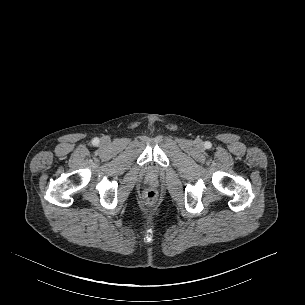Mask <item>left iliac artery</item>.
Wrapping results in <instances>:
<instances>
[{
    "label": "left iliac artery",
    "instance_id": "left-iliac-artery-1",
    "mask_svg": "<svg viewBox=\"0 0 305 305\" xmlns=\"http://www.w3.org/2000/svg\"><path fill=\"white\" fill-rule=\"evenodd\" d=\"M211 146H212V144H211L210 142L207 141V142L205 143V147H206L207 149L211 148Z\"/></svg>",
    "mask_w": 305,
    "mask_h": 305
}]
</instances>
